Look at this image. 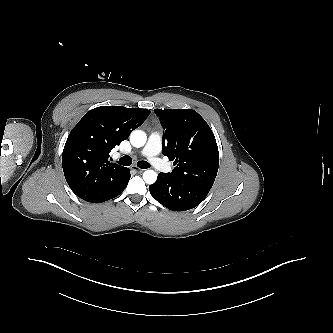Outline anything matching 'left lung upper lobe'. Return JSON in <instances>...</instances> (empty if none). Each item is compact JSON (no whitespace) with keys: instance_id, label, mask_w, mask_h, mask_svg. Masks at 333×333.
<instances>
[{"instance_id":"5c2ea615","label":"left lung upper lobe","mask_w":333,"mask_h":333,"mask_svg":"<svg viewBox=\"0 0 333 333\" xmlns=\"http://www.w3.org/2000/svg\"><path fill=\"white\" fill-rule=\"evenodd\" d=\"M164 128L163 154L174 161V179L211 188L218 171L215 136L194 110H154Z\"/></svg>"}]
</instances>
